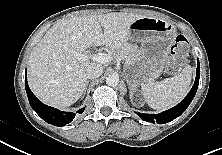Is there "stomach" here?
Listing matches in <instances>:
<instances>
[{
	"instance_id": "obj_1",
	"label": "stomach",
	"mask_w": 222,
	"mask_h": 155,
	"mask_svg": "<svg viewBox=\"0 0 222 155\" xmlns=\"http://www.w3.org/2000/svg\"><path fill=\"white\" fill-rule=\"evenodd\" d=\"M176 39L175 26L166 20L142 17L130 26L128 40L140 42L125 64L129 86L136 87L156 79L164 69L170 48Z\"/></svg>"
}]
</instances>
